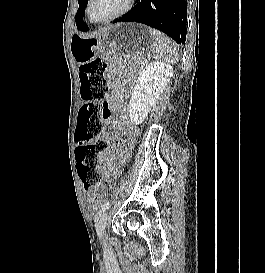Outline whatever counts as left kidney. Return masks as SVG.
I'll list each match as a JSON object with an SVG mask.
<instances>
[{"label": "left kidney", "mask_w": 265, "mask_h": 273, "mask_svg": "<svg viewBox=\"0 0 265 273\" xmlns=\"http://www.w3.org/2000/svg\"><path fill=\"white\" fill-rule=\"evenodd\" d=\"M172 75L173 67L161 61L150 63L142 70L137 78L128 106L132 123L140 124L145 120Z\"/></svg>", "instance_id": "obj_1"}]
</instances>
